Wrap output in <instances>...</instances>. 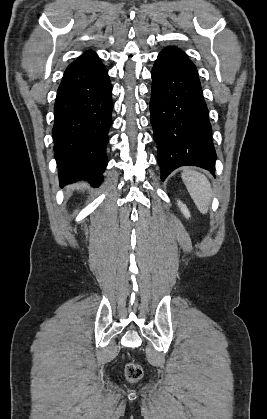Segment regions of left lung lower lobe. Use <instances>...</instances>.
Segmentation results:
<instances>
[{
	"instance_id": "1",
	"label": "left lung lower lobe",
	"mask_w": 267,
	"mask_h": 419,
	"mask_svg": "<svg viewBox=\"0 0 267 419\" xmlns=\"http://www.w3.org/2000/svg\"><path fill=\"white\" fill-rule=\"evenodd\" d=\"M151 75L150 121L161 180L183 165L214 175L216 152L196 66L180 49L167 47L159 53Z\"/></svg>"
}]
</instances>
